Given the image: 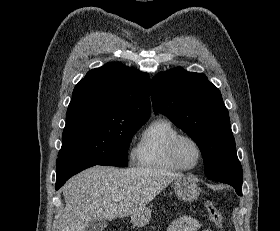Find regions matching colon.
I'll list each match as a JSON object with an SVG mask.
<instances>
[{
    "instance_id": "obj_1",
    "label": "colon",
    "mask_w": 280,
    "mask_h": 231,
    "mask_svg": "<svg viewBox=\"0 0 280 231\" xmlns=\"http://www.w3.org/2000/svg\"><path fill=\"white\" fill-rule=\"evenodd\" d=\"M208 215L212 223L218 228L219 231L224 230L223 216L219 208L211 201L205 202Z\"/></svg>"
}]
</instances>
